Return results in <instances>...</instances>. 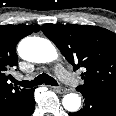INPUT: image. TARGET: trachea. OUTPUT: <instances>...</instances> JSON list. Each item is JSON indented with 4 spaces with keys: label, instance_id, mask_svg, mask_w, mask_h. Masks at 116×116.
<instances>
[{
    "label": "trachea",
    "instance_id": "trachea-1",
    "mask_svg": "<svg viewBox=\"0 0 116 116\" xmlns=\"http://www.w3.org/2000/svg\"><path fill=\"white\" fill-rule=\"evenodd\" d=\"M13 82L15 83V85H20L25 88H32V87L41 85L43 83H45L47 85L58 86L57 81L53 77L49 76L46 73H43V74L37 76L32 81H25V80L17 81L14 79Z\"/></svg>",
    "mask_w": 116,
    "mask_h": 116
}]
</instances>
